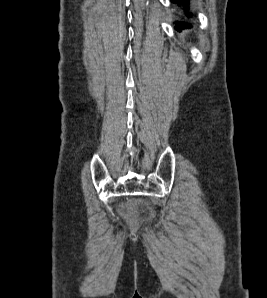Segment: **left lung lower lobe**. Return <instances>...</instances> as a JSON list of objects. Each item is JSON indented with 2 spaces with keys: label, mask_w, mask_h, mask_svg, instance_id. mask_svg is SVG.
<instances>
[{
  "label": "left lung lower lobe",
  "mask_w": 267,
  "mask_h": 298,
  "mask_svg": "<svg viewBox=\"0 0 267 298\" xmlns=\"http://www.w3.org/2000/svg\"><path fill=\"white\" fill-rule=\"evenodd\" d=\"M172 2L174 3H177V2H181V3H186L188 2V0H172ZM187 9H189V7H187ZM187 16H191L190 13L186 12ZM186 26V23H183V22H177L176 23V28L179 29V28H182V27H185Z\"/></svg>",
  "instance_id": "left-lung-lower-lobe-1"
}]
</instances>
